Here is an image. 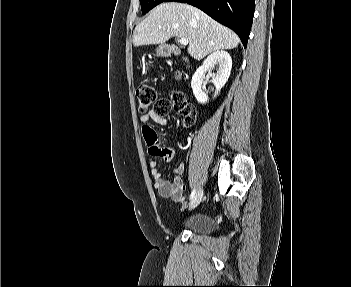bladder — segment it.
<instances>
[{"instance_id": "1", "label": "bladder", "mask_w": 351, "mask_h": 287, "mask_svg": "<svg viewBox=\"0 0 351 287\" xmlns=\"http://www.w3.org/2000/svg\"><path fill=\"white\" fill-rule=\"evenodd\" d=\"M183 228L198 234H209L214 230L215 224L209 215L198 214L190 217Z\"/></svg>"}]
</instances>
